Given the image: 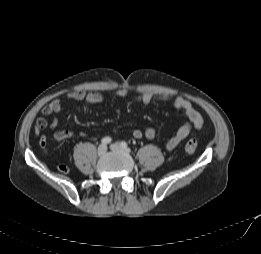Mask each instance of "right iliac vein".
I'll list each match as a JSON object with an SVG mask.
<instances>
[{
	"mask_svg": "<svg viewBox=\"0 0 261 254\" xmlns=\"http://www.w3.org/2000/svg\"><path fill=\"white\" fill-rule=\"evenodd\" d=\"M106 152H107V147L104 144L100 145L97 149V153L99 156L104 155Z\"/></svg>",
	"mask_w": 261,
	"mask_h": 254,
	"instance_id": "obj_1",
	"label": "right iliac vein"
}]
</instances>
